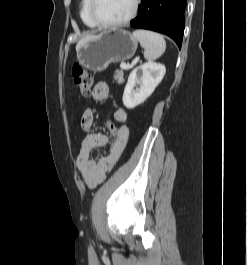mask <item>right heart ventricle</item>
Here are the masks:
<instances>
[{"mask_svg":"<svg viewBox=\"0 0 247 265\" xmlns=\"http://www.w3.org/2000/svg\"><path fill=\"white\" fill-rule=\"evenodd\" d=\"M89 4L90 0H81L80 1V17L83 23L89 28H96L97 26L92 21L89 15Z\"/></svg>","mask_w":247,"mask_h":265,"instance_id":"right-heart-ventricle-1","label":"right heart ventricle"}]
</instances>
